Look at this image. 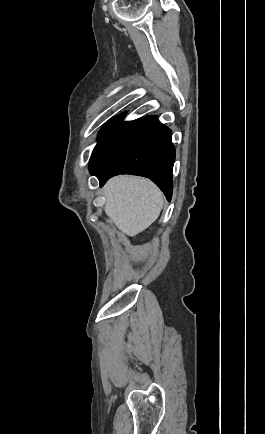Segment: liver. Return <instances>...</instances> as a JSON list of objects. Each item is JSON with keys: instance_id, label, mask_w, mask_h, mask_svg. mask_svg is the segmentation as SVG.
Masks as SVG:
<instances>
[{"instance_id": "obj_1", "label": "liver", "mask_w": 265, "mask_h": 434, "mask_svg": "<svg viewBox=\"0 0 265 434\" xmlns=\"http://www.w3.org/2000/svg\"><path fill=\"white\" fill-rule=\"evenodd\" d=\"M104 212L126 236H137L149 228L163 208L164 196L145 178L117 176L104 188Z\"/></svg>"}]
</instances>
